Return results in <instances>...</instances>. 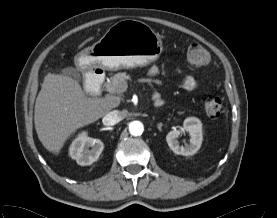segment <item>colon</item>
I'll return each instance as SVG.
<instances>
[{
  "label": "colon",
  "instance_id": "colon-1",
  "mask_svg": "<svg viewBox=\"0 0 277 218\" xmlns=\"http://www.w3.org/2000/svg\"><path fill=\"white\" fill-rule=\"evenodd\" d=\"M209 60L208 52L199 44H192L187 51V62L191 67H200ZM202 102L207 115L211 118L220 116L223 108V100L217 95L204 94Z\"/></svg>",
  "mask_w": 277,
  "mask_h": 218
}]
</instances>
